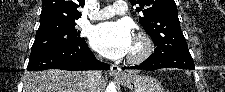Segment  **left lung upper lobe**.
I'll list each match as a JSON object with an SVG mask.
<instances>
[{
	"label": "left lung upper lobe",
	"mask_w": 225,
	"mask_h": 92,
	"mask_svg": "<svg viewBox=\"0 0 225 92\" xmlns=\"http://www.w3.org/2000/svg\"><path fill=\"white\" fill-rule=\"evenodd\" d=\"M142 12L139 22L151 37L154 53L189 52L174 0H130Z\"/></svg>",
	"instance_id": "obj_1"
}]
</instances>
